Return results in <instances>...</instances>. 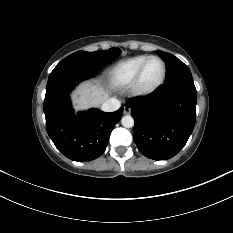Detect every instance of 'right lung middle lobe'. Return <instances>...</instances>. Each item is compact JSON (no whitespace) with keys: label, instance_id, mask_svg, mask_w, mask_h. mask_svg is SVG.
<instances>
[{"label":"right lung middle lobe","instance_id":"dd1d6c3e","mask_svg":"<svg viewBox=\"0 0 233 233\" xmlns=\"http://www.w3.org/2000/svg\"><path fill=\"white\" fill-rule=\"evenodd\" d=\"M121 50L110 48L95 52L78 51L64 58L51 72L50 76L58 73L87 72L95 73L114 60Z\"/></svg>","mask_w":233,"mask_h":233}]
</instances>
